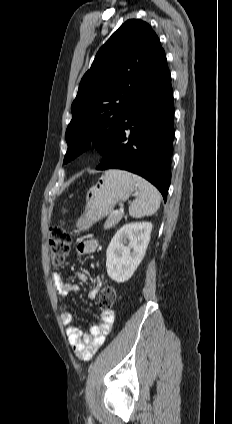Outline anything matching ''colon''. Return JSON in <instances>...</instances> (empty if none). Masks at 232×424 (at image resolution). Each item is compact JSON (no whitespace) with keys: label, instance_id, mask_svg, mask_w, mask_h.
Here are the masks:
<instances>
[{"label":"colon","instance_id":"5ec220e1","mask_svg":"<svg viewBox=\"0 0 232 424\" xmlns=\"http://www.w3.org/2000/svg\"><path fill=\"white\" fill-rule=\"evenodd\" d=\"M72 237L70 226L64 219L51 226L49 232V252L53 267L62 266L67 258ZM117 300V293L113 286L106 285L99 291L98 307L102 311H109Z\"/></svg>","mask_w":232,"mask_h":424}]
</instances>
